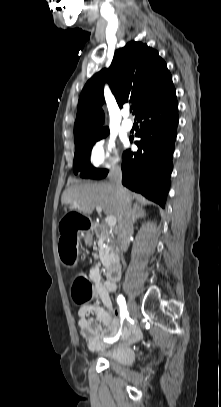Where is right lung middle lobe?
Returning a JSON list of instances; mask_svg holds the SVG:
<instances>
[{"label":"right lung middle lobe","mask_w":221,"mask_h":407,"mask_svg":"<svg viewBox=\"0 0 221 407\" xmlns=\"http://www.w3.org/2000/svg\"><path fill=\"white\" fill-rule=\"evenodd\" d=\"M109 131L103 132L93 138L75 144V155L73 162L74 173L81 172V177L101 179L108 173L107 170L94 168L90 163V153L96 141L106 137Z\"/></svg>","instance_id":"right-lung-middle-lobe-1"}]
</instances>
